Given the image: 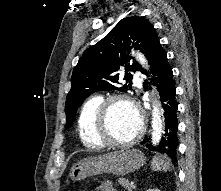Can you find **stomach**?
Instances as JSON below:
<instances>
[{"mask_svg": "<svg viewBox=\"0 0 221 191\" xmlns=\"http://www.w3.org/2000/svg\"><path fill=\"white\" fill-rule=\"evenodd\" d=\"M144 163L145 158L140 151L123 149L83 159L72 166L69 176L74 181H80L102 173L126 175L139 169Z\"/></svg>", "mask_w": 221, "mask_h": 191, "instance_id": "1", "label": "stomach"}]
</instances>
